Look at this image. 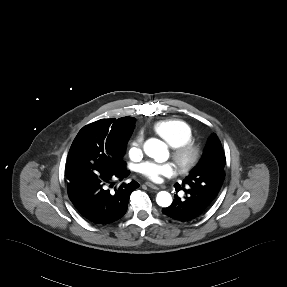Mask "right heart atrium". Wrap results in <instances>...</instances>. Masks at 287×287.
<instances>
[{
  "label": "right heart atrium",
  "instance_id": "d8ad5b80",
  "mask_svg": "<svg viewBox=\"0 0 287 287\" xmlns=\"http://www.w3.org/2000/svg\"><path fill=\"white\" fill-rule=\"evenodd\" d=\"M143 138L141 136L135 137L129 147V155L131 158H139L142 154Z\"/></svg>",
  "mask_w": 287,
  "mask_h": 287
}]
</instances>
